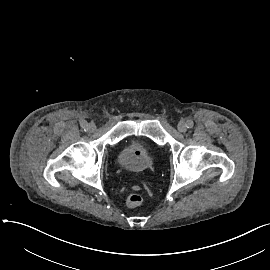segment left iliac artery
Here are the masks:
<instances>
[{"label": "left iliac artery", "instance_id": "left-iliac-artery-1", "mask_svg": "<svg viewBox=\"0 0 270 270\" xmlns=\"http://www.w3.org/2000/svg\"><path fill=\"white\" fill-rule=\"evenodd\" d=\"M193 125H194V123H193V121H192V120H187V122H186V126H187V128H192V127H193Z\"/></svg>", "mask_w": 270, "mask_h": 270}]
</instances>
